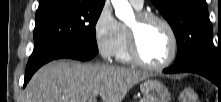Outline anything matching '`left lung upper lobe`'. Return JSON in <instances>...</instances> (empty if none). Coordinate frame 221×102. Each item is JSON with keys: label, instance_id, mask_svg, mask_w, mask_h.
I'll use <instances>...</instances> for the list:
<instances>
[{"label": "left lung upper lobe", "instance_id": "5c2ea615", "mask_svg": "<svg viewBox=\"0 0 221 102\" xmlns=\"http://www.w3.org/2000/svg\"><path fill=\"white\" fill-rule=\"evenodd\" d=\"M169 22L177 39L174 64L200 61L221 73V52L215 50L205 0H151Z\"/></svg>", "mask_w": 221, "mask_h": 102}]
</instances>
